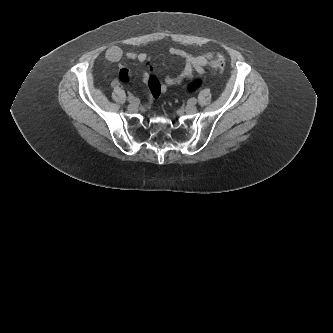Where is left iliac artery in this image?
<instances>
[{"label":"left iliac artery","instance_id":"left-iliac-artery-1","mask_svg":"<svg viewBox=\"0 0 333 333\" xmlns=\"http://www.w3.org/2000/svg\"><path fill=\"white\" fill-rule=\"evenodd\" d=\"M189 103L196 104L197 99L196 98H191V99H189Z\"/></svg>","mask_w":333,"mask_h":333}]
</instances>
